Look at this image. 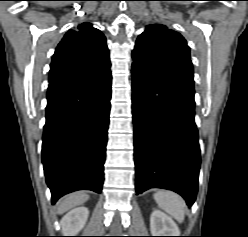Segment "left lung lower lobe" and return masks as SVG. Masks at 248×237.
Listing matches in <instances>:
<instances>
[{
  "instance_id": "left-lung-lower-lobe-1",
  "label": "left lung lower lobe",
  "mask_w": 248,
  "mask_h": 237,
  "mask_svg": "<svg viewBox=\"0 0 248 237\" xmlns=\"http://www.w3.org/2000/svg\"><path fill=\"white\" fill-rule=\"evenodd\" d=\"M136 192L150 188L196 198L201 163L194 88L169 83L132 64Z\"/></svg>"
}]
</instances>
